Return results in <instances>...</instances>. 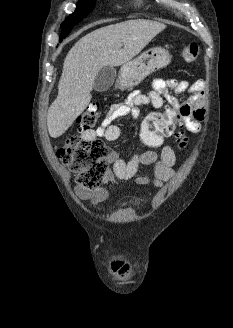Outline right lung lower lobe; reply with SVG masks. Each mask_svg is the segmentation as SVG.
<instances>
[{
  "label": "right lung lower lobe",
  "mask_w": 233,
  "mask_h": 328,
  "mask_svg": "<svg viewBox=\"0 0 233 328\" xmlns=\"http://www.w3.org/2000/svg\"><path fill=\"white\" fill-rule=\"evenodd\" d=\"M73 26H63L62 27V35L60 37V42L62 41V39H64L71 31V28Z\"/></svg>",
  "instance_id": "right-lung-lower-lobe-1"
}]
</instances>
